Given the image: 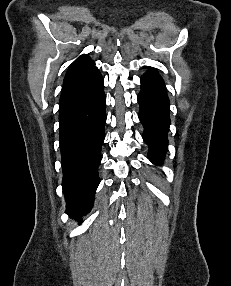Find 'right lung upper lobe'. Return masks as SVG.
Instances as JSON below:
<instances>
[{"instance_id": "1", "label": "right lung upper lobe", "mask_w": 231, "mask_h": 286, "mask_svg": "<svg viewBox=\"0 0 231 286\" xmlns=\"http://www.w3.org/2000/svg\"><path fill=\"white\" fill-rule=\"evenodd\" d=\"M97 70L95 63L88 57V55L83 54L72 63L66 73L64 81H72L82 75H88Z\"/></svg>"}]
</instances>
